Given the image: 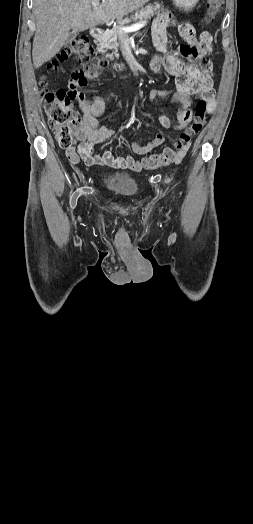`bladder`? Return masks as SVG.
Instances as JSON below:
<instances>
[{"mask_svg": "<svg viewBox=\"0 0 253 524\" xmlns=\"http://www.w3.org/2000/svg\"><path fill=\"white\" fill-rule=\"evenodd\" d=\"M102 180L107 189L122 197H132L138 191V181L127 173L107 171Z\"/></svg>", "mask_w": 253, "mask_h": 524, "instance_id": "obj_1", "label": "bladder"}]
</instances>
